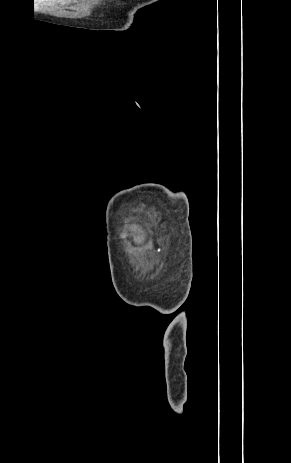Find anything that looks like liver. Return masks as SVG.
<instances>
[{
    "label": "liver",
    "mask_w": 291,
    "mask_h": 463,
    "mask_svg": "<svg viewBox=\"0 0 291 463\" xmlns=\"http://www.w3.org/2000/svg\"><path fill=\"white\" fill-rule=\"evenodd\" d=\"M134 228H135V229H138V231H140V233H142V230H141V228H139V226L134 225ZM144 239H145V236H144L143 234H141V235L139 236V240H140V241H143Z\"/></svg>",
    "instance_id": "6515ba94"
}]
</instances>
